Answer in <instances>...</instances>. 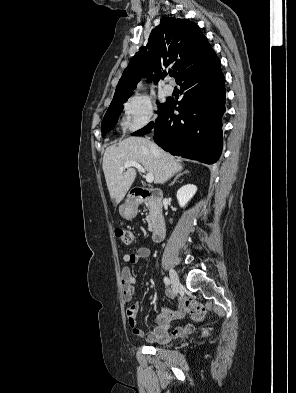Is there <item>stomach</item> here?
Returning <instances> with one entry per match:
<instances>
[{
	"label": "stomach",
	"instance_id": "1",
	"mask_svg": "<svg viewBox=\"0 0 296 393\" xmlns=\"http://www.w3.org/2000/svg\"><path fill=\"white\" fill-rule=\"evenodd\" d=\"M119 213L123 218L129 220L136 216L137 209L133 203L126 201L119 207Z\"/></svg>",
	"mask_w": 296,
	"mask_h": 393
}]
</instances>
